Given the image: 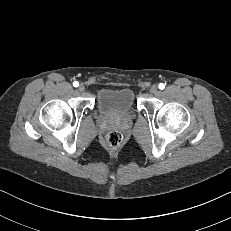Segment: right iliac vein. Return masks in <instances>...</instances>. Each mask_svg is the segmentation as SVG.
<instances>
[{"mask_svg":"<svg viewBox=\"0 0 231 231\" xmlns=\"http://www.w3.org/2000/svg\"><path fill=\"white\" fill-rule=\"evenodd\" d=\"M79 91L80 92H83L85 90V86L83 84H81L79 87H78Z\"/></svg>","mask_w":231,"mask_h":231,"instance_id":"63e3f726","label":"right iliac vein"}]
</instances>
